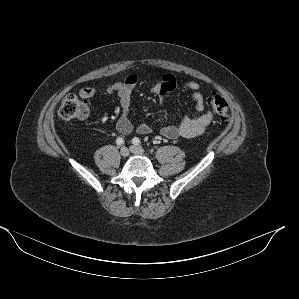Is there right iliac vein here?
I'll list each match as a JSON object with an SVG mask.
<instances>
[{
	"instance_id": "63e3f726",
	"label": "right iliac vein",
	"mask_w": 299,
	"mask_h": 299,
	"mask_svg": "<svg viewBox=\"0 0 299 299\" xmlns=\"http://www.w3.org/2000/svg\"><path fill=\"white\" fill-rule=\"evenodd\" d=\"M120 154L123 157H127L129 155V149L127 147H122L120 150Z\"/></svg>"
}]
</instances>
